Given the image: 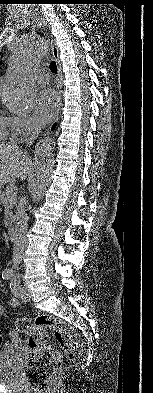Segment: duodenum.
<instances>
[{"label":"duodenum","instance_id":"obj_1","mask_svg":"<svg viewBox=\"0 0 153 393\" xmlns=\"http://www.w3.org/2000/svg\"><path fill=\"white\" fill-rule=\"evenodd\" d=\"M8 235L11 239H15L17 235V229L15 226H10L8 228Z\"/></svg>","mask_w":153,"mask_h":393}]
</instances>
